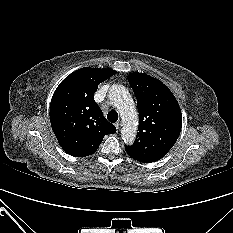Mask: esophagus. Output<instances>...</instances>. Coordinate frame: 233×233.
<instances>
[{
	"label": "esophagus",
	"mask_w": 233,
	"mask_h": 233,
	"mask_svg": "<svg viewBox=\"0 0 233 233\" xmlns=\"http://www.w3.org/2000/svg\"><path fill=\"white\" fill-rule=\"evenodd\" d=\"M115 127H116V129L118 130V129L120 128V122H116V123H115Z\"/></svg>",
	"instance_id": "obj_1"
}]
</instances>
